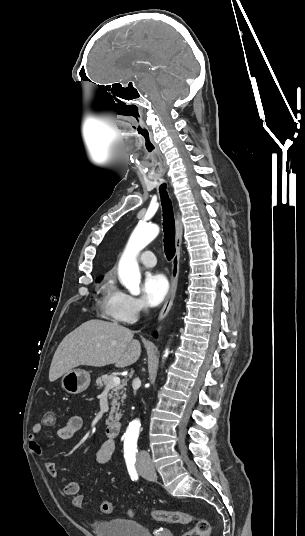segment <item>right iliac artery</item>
I'll return each instance as SVG.
<instances>
[{
	"label": "right iliac artery",
	"instance_id": "obj_1",
	"mask_svg": "<svg viewBox=\"0 0 305 536\" xmlns=\"http://www.w3.org/2000/svg\"><path fill=\"white\" fill-rule=\"evenodd\" d=\"M124 457H125L127 469H128V472H129V475H130L131 479L133 481L137 480L138 475H137V472H136V469H135V459L132 458V457H129L128 455H124Z\"/></svg>",
	"mask_w": 305,
	"mask_h": 536
}]
</instances>
